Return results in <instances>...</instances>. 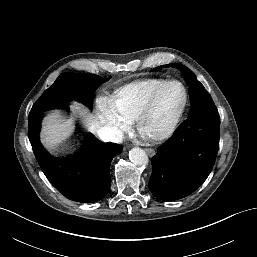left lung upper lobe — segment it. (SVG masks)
Here are the masks:
<instances>
[{
  "label": "left lung upper lobe",
  "instance_id": "1",
  "mask_svg": "<svg viewBox=\"0 0 257 257\" xmlns=\"http://www.w3.org/2000/svg\"><path fill=\"white\" fill-rule=\"evenodd\" d=\"M171 66L179 69L185 76L188 84L190 85V94L192 106L188 119L176 130V135H187L185 128L191 123H200L201 126L205 124L220 125V119L217 108L206 91L204 86L197 80L194 73L187 67L181 64H169L162 67Z\"/></svg>",
  "mask_w": 257,
  "mask_h": 257
}]
</instances>
